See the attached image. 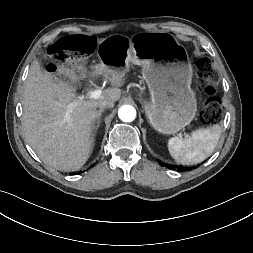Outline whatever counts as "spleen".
I'll use <instances>...</instances> for the list:
<instances>
[{
    "instance_id": "3e777b00",
    "label": "spleen",
    "mask_w": 253,
    "mask_h": 253,
    "mask_svg": "<svg viewBox=\"0 0 253 253\" xmlns=\"http://www.w3.org/2000/svg\"><path fill=\"white\" fill-rule=\"evenodd\" d=\"M221 134V127L213 125L192 132L185 139L173 137L169 139L168 150L177 163L193 165L203 162L214 151Z\"/></svg>"
}]
</instances>
